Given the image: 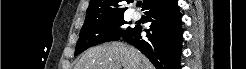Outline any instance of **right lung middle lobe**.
<instances>
[{
	"label": "right lung middle lobe",
	"instance_id": "right-lung-middle-lobe-1",
	"mask_svg": "<svg viewBox=\"0 0 246 69\" xmlns=\"http://www.w3.org/2000/svg\"><path fill=\"white\" fill-rule=\"evenodd\" d=\"M123 24H126L123 20V15H113L99 20L85 21L76 44L75 55L82 53L92 46L120 39L127 30L131 29L122 30L118 28ZM110 28L112 29L108 30Z\"/></svg>",
	"mask_w": 246,
	"mask_h": 69
}]
</instances>
